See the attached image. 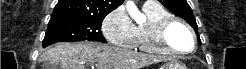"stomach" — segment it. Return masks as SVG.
Returning a JSON list of instances; mask_svg holds the SVG:
<instances>
[{
    "mask_svg": "<svg viewBox=\"0 0 246 69\" xmlns=\"http://www.w3.org/2000/svg\"><path fill=\"white\" fill-rule=\"evenodd\" d=\"M160 69H187V68L179 62H168L165 65H163Z\"/></svg>",
    "mask_w": 246,
    "mask_h": 69,
    "instance_id": "0dacf381",
    "label": "stomach"
}]
</instances>
